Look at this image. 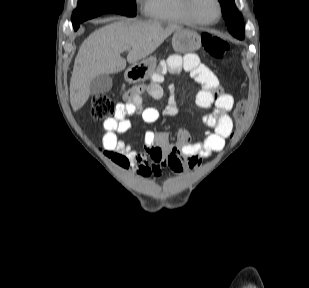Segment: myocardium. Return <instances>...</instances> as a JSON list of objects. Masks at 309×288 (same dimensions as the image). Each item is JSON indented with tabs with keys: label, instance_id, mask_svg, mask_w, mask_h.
Returning <instances> with one entry per match:
<instances>
[{
	"label": "myocardium",
	"instance_id": "myocardium-1",
	"mask_svg": "<svg viewBox=\"0 0 309 288\" xmlns=\"http://www.w3.org/2000/svg\"><path fill=\"white\" fill-rule=\"evenodd\" d=\"M217 7H218V17L214 21H203L201 20L194 11V0H184V10L187 14V16L190 18V20L195 24L199 26H212L220 22L223 16V6L220 0H215Z\"/></svg>",
	"mask_w": 309,
	"mask_h": 288
}]
</instances>
